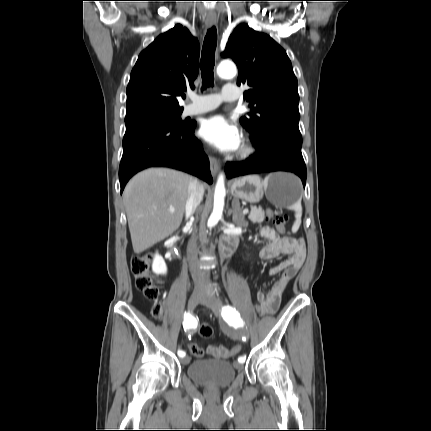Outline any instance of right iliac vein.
<instances>
[{
  "label": "right iliac vein",
  "mask_w": 431,
  "mask_h": 431,
  "mask_svg": "<svg viewBox=\"0 0 431 431\" xmlns=\"http://www.w3.org/2000/svg\"><path fill=\"white\" fill-rule=\"evenodd\" d=\"M201 299V294L200 292H193L192 295L190 296L189 300H188V310L192 311L200 302ZM190 361V358L188 356H185L184 358L181 359V363L183 365H187Z\"/></svg>",
  "instance_id": "63e3f726"
}]
</instances>
